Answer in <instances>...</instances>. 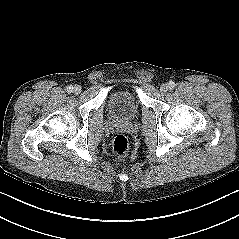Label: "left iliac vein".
Instances as JSON below:
<instances>
[{"mask_svg":"<svg viewBox=\"0 0 239 239\" xmlns=\"http://www.w3.org/2000/svg\"><path fill=\"white\" fill-rule=\"evenodd\" d=\"M168 91V85L167 84H162L160 87V92L162 94L166 93Z\"/></svg>","mask_w":239,"mask_h":239,"instance_id":"1","label":"left iliac vein"}]
</instances>
